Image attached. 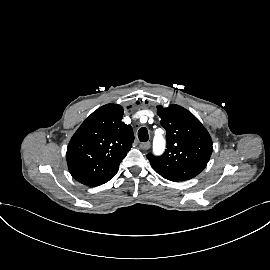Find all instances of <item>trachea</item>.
Returning a JSON list of instances; mask_svg holds the SVG:
<instances>
[{"mask_svg":"<svg viewBox=\"0 0 270 270\" xmlns=\"http://www.w3.org/2000/svg\"><path fill=\"white\" fill-rule=\"evenodd\" d=\"M138 137L141 142H146L149 139L148 131L145 127H142L138 131Z\"/></svg>","mask_w":270,"mask_h":270,"instance_id":"trachea-1","label":"trachea"}]
</instances>
